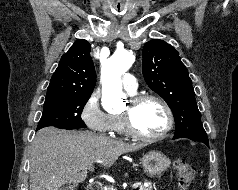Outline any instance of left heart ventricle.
<instances>
[{"label":"left heart ventricle","instance_id":"b2bd125f","mask_svg":"<svg viewBox=\"0 0 238 190\" xmlns=\"http://www.w3.org/2000/svg\"><path fill=\"white\" fill-rule=\"evenodd\" d=\"M129 109V103L124 112ZM123 112V113H124ZM133 121L136 129L149 136L161 133L167 124V117L161 105L154 100L141 103L133 112Z\"/></svg>","mask_w":238,"mask_h":190}]
</instances>
